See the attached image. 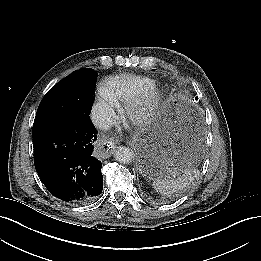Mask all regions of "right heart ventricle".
Returning a JSON list of instances; mask_svg holds the SVG:
<instances>
[{
    "label": "right heart ventricle",
    "instance_id": "e07e8e85",
    "mask_svg": "<svg viewBox=\"0 0 261 261\" xmlns=\"http://www.w3.org/2000/svg\"><path fill=\"white\" fill-rule=\"evenodd\" d=\"M130 78L125 75L117 76L106 82L104 88L117 103L122 101L129 93L128 83Z\"/></svg>",
    "mask_w": 261,
    "mask_h": 261
}]
</instances>
